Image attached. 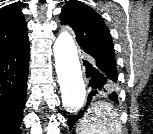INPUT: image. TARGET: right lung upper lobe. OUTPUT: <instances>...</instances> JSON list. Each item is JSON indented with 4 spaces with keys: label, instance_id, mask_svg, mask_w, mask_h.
Returning a JSON list of instances; mask_svg holds the SVG:
<instances>
[{
    "label": "right lung upper lobe",
    "instance_id": "1",
    "mask_svg": "<svg viewBox=\"0 0 153 134\" xmlns=\"http://www.w3.org/2000/svg\"><path fill=\"white\" fill-rule=\"evenodd\" d=\"M29 42L21 8L13 3L0 10V56Z\"/></svg>",
    "mask_w": 153,
    "mask_h": 134
}]
</instances>
